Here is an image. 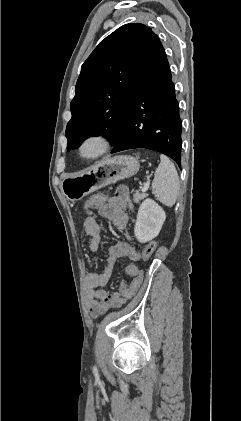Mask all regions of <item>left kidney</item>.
I'll return each instance as SVG.
<instances>
[{"label": "left kidney", "mask_w": 241, "mask_h": 421, "mask_svg": "<svg viewBox=\"0 0 241 421\" xmlns=\"http://www.w3.org/2000/svg\"><path fill=\"white\" fill-rule=\"evenodd\" d=\"M166 219L164 210L154 200L146 199L139 207L134 234L141 243L158 236Z\"/></svg>", "instance_id": "5707ae66"}]
</instances>
